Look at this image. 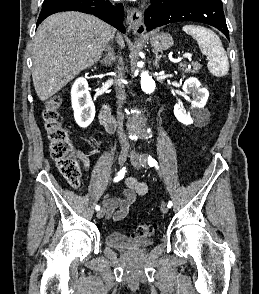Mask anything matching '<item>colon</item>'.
Listing matches in <instances>:
<instances>
[{
    "instance_id": "1",
    "label": "colon",
    "mask_w": 259,
    "mask_h": 294,
    "mask_svg": "<svg viewBox=\"0 0 259 294\" xmlns=\"http://www.w3.org/2000/svg\"><path fill=\"white\" fill-rule=\"evenodd\" d=\"M61 98L54 97L49 100L43 111L42 119L46 131L51 157L66 181L74 188L80 185L81 173L75 158L73 143L68 130L63 125L60 116ZM157 226L152 223L140 224L134 231L138 237H151L155 234Z\"/></svg>"
}]
</instances>
